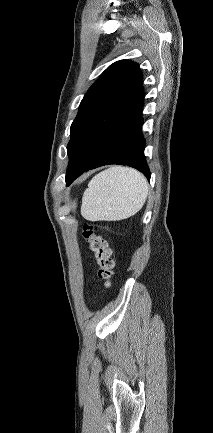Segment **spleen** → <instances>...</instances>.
I'll return each instance as SVG.
<instances>
[{
	"label": "spleen",
	"instance_id": "1",
	"mask_svg": "<svg viewBox=\"0 0 213 433\" xmlns=\"http://www.w3.org/2000/svg\"><path fill=\"white\" fill-rule=\"evenodd\" d=\"M148 194L146 178L128 167L114 166L94 176L82 198L81 214L89 221H118L135 215Z\"/></svg>",
	"mask_w": 213,
	"mask_h": 433
}]
</instances>
